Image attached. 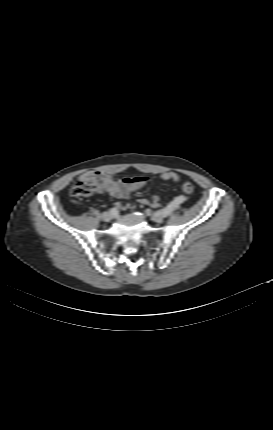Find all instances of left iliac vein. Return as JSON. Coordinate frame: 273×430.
Masks as SVG:
<instances>
[{
  "label": "left iliac vein",
  "instance_id": "1",
  "mask_svg": "<svg viewBox=\"0 0 273 430\" xmlns=\"http://www.w3.org/2000/svg\"><path fill=\"white\" fill-rule=\"evenodd\" d=\"M150 216L155 222H161L163 220V217L159 212L152 213Z\"/></svg>",
  "mask_w": 273,
  "mask_h": 430
}]
</instances>
